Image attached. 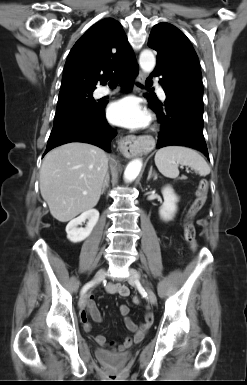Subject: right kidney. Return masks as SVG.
<instances>
[{"label":"right kidney","instance_id":"right-kidney-1","mask_svg":"<svg viewBox=\"0 0 247 385\" xmlns=\"http://www.w3.org/2000/svg\"><path fill=\"white\" fill-rule=\"evenodd\" d=\"M99 219V212L96 209H90L83 212L79 217L71 220L66 226L67 238L78 243L85 240L92 232ZM88 220L85 228H78L82 222Z\"/></svg>","mask_w":247,"mask_h":385}]
</instances>
